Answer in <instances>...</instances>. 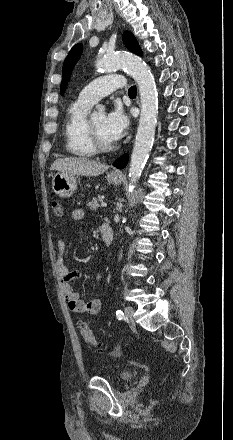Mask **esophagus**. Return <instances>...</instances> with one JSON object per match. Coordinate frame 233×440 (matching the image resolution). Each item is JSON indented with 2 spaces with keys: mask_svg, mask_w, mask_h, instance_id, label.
Returning a JSON list of instances; mask_svg holds the SVG:
<instances>
[{
  "mask_svg": "<svg viewBox=\"0 0 233 440\" xmlns=\"http://www.w3.org/2000/svg\"><path fill=\"white\" fill-rule=\"evenodd\" d=\"M137 103H139V99H137Z\"/></svg>",
  "mask_w": 233,
  "mask_h": 440,
  "instance_id": "esophagus-1",
  "label": "esophagus"
}]
</instances>
